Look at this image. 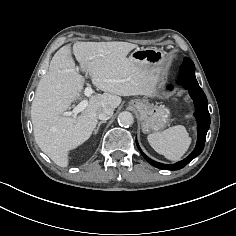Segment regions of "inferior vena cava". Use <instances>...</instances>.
<instances>
[{"label": "inferior vena cava", "mask_w": 236, "mask_h": 236, "mask_svg": "<svg viewBox=\"0 0 236 236\" xmlns=\"http://www.w3.org/2000/svg\"><path fill=\"white\" fill-rule=\"evenodd\" d=\"M113 115V109L111 107H103L99 112H98V118L100 120H108L112 117Z\"/></svg>", "instance_id": "602c4592"}]
</instances>
